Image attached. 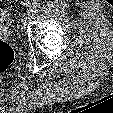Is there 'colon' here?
Masks as SVG:
<instances>
[{"mask_svg":"<svg viewBox=\"0 0 113 113\" xmlns=\"http://www.w3.org/2000/svg\"><path fill=\"white\" fill-rule=\"evenodd\" d=\"M14 58L13 47L7 42L0 40V72L7 70L13 63Z\"/></svg>","mask_w":113,"mask_h":113,"instance_id":"obj_1","label":"colon"}]
</instances>
